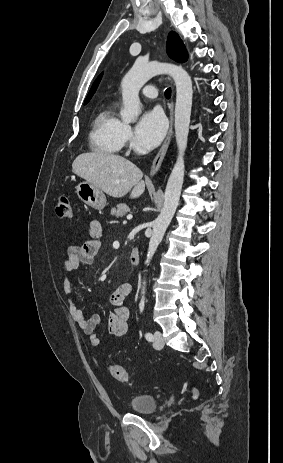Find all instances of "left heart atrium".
I'll list each match as a JSON object with an SVG mask.
<instances>
[{
    "instance_id": "39dd6f15",
    "label": "left heart atrium",
    "mask_w": 283,
    "mask_h": 463,
    "mask_svg": "<svg viewBox=\"0 0 283 463\" xmlns=\"http://www.w3.org/2000/svg\"><path fill=\"white\" fill-rule=\"evenodd\" d=\"M167 131V121L158 109L145 112L135 128L137 143L145 148L152 149L160 144Z\"/></svg>"
}]
</instances>
